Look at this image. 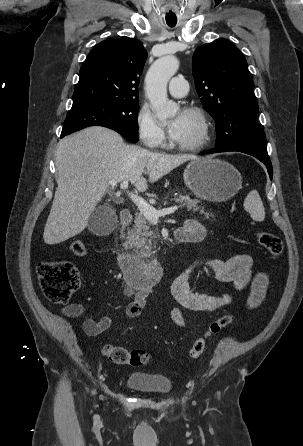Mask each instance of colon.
<instances>
[{
  "label": "colon",
  "mask_w": 303,
  "mask_h": 446,
  "mask_svg": "<svg viewBox=\"0 0 303 446\" xmlns=\"http://www.w3.org/2000/svg\"><path fill=\"white\" fill-rule=\"evenodd\" d=\"M258 243L271 256L278 258L283 252L281 239L271 233L259 231L256 234ZM71 252L79 257L87 253L81 240H74L70 245ZM37 276L45 297L56 304H66L79 288L80 277L74 265L63 261H42L37 265ZM233 320L231 314H225L212 321L205 332L199 336L189 350L192 359L200 357L206 349L208 340L219 333ZM103 355L115 364L141 366L147 363L149 355L145 350H128L124 347L108 344L103 347Z\"/></svg>",
  "instance_id": "1"
}]
</instances>
